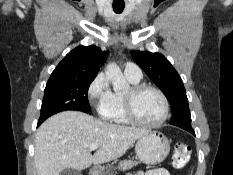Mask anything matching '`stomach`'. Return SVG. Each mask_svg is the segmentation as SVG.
<instances>
[{
  "mask_svg": "<svg viewBox=\"0 0 233 175\" xmlns=\"http://www.w3.org/2000/svg\"><path fill=\"white\" fill-rule=\"evenodd\" d=\"M170 151V142L162 133L149 131L137 140L135 152L137 158L148 165H156L166 159ZM92 175H102L94 170Z\"/></svg>",
  "mask_w": 233,
  "mask_h": 175,
  "instance_id": "obj_1",
  "label": "stomach"
}]
</instances>
